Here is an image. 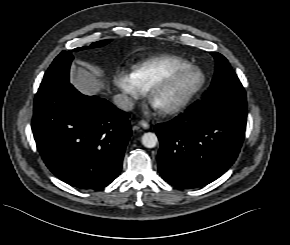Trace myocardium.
I'll return each instance as SVG.
<instances>
[{"mask_svg":"<svg viewBox=\"0 0 290 245\" xmlns=\"http://www.w3.org/2000/svg\"><path fill=\"white\" fill-rule=\"evenodd\" d=\"M195 73L198 76V80L196 84L193 86V88L179 101H177L175 104L166 107L164 109H161V112L164 115H173L176 113L181 112L184 110L193 100L194 98L200 93V91L203 89L206 83V76L202 69L195 65H188L186 67H182L173 71H170L163 75L162 77L158 78L149 88L148 95L152 102H154L156 95L159 91H161L163 88L171 84L173 81H175L180 76L186 74V73Z\"/></svg>","mask_w":290,"mask_h":245,"instance_id":"obj_1","label":"myocardium"}]
</instances>
